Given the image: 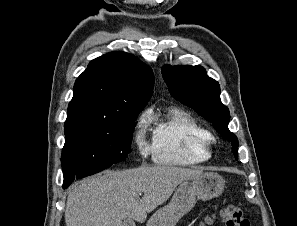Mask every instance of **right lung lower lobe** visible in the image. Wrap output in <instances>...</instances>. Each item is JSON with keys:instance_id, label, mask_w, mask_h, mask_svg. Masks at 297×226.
<instances>
[{"instance_id": "obj_1", "label": "right lung lower lobe", "mask_w": 297, "mask_h": 226, "mask_svg": "<svg viewBox=\"0 0 297 226\" xmlns=\"http://www.w3.org/2000/svg\"><path fill=\"white\" fill-rule=\"evenodd\" d=\"M104 169H90V170H86V171H83V172H80L78 174H72V175H69L68 177H66L64 179V183H63V188H67L73 181L74 179H80L82 177H86V176H89V175H92V174H95L97 172H100Z\"/></svg>"}]
</instances>
